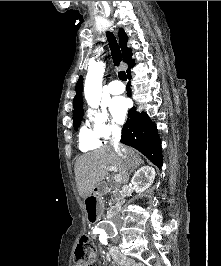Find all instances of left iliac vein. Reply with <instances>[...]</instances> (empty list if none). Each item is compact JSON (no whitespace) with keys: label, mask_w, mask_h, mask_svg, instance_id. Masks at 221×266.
<instances>
[{"label":"left iliac vein","mask_w":221,"mask_h":266,"mask_svg":"<svg viewBox=\"0 0 221 266\" xmlns=\"http://www.w3.org/2000/svg\"><path fill=\"white\" fill-rule=\"evenodd\" d=\"M111 250H117V248H116V247H114V248H112Z\"/></svg>","instance_id":"4c4485c4"}]
</instances>
